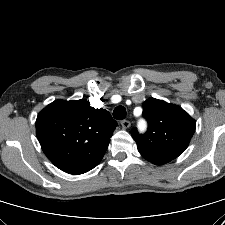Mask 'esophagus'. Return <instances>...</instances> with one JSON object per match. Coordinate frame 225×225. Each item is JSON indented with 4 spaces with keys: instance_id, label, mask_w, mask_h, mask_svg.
Wrapping results in <instances>:
<instances>
[{
    "instance_id": "34e87169",
    "label": "esophagus",
    "mask_w": 225,
    "mask_h": 225,
    "mask_svg": "<svg viewBox=\"0 0 225 225\" xmlns=\"http://www.w3.org/2000/svg\"><path fill=\"white\" fill-rule=\"evenodd\" d=\"M121 125H122V127H123L124 129H127V128H129V127L131 126V122L128 121V120H122V121H121Z\"/></svg>"
}]
</instances>
